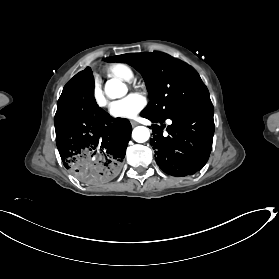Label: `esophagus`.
I'll return each instance as SVG.
<instances>
[{"mask_svg": "<svg viewBox=\"0 0 279 279\" xmlns=\"http://www.w3.org/2000/svg\"><path fill=\"white\" fill-rule=\"evenodd\" d=\"M130 123L132 124V126H135L138 124V122H136L135 120H130Z\"/></svg>", "mask_w": 279, "mask_h": 279, "instance_id": "34e87169", "label": "esophagus"}]
</instances>
